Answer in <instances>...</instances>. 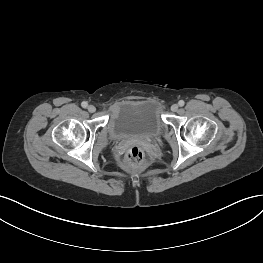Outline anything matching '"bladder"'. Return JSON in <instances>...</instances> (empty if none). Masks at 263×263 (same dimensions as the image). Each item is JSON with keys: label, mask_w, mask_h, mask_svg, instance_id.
Instances as JSON below:
<instances>
[{"label": "bladder", "mask_w": 263, "mask_h": 263, "mask_svg": "<svg viewBox=\"0 0 263 263\" xmlns=\"http://www.w3.org/2000/svg\"><path fill=\"white\" fill-rule=\"evenodd\" d=\"M112 138H157L164 129L160 106L154 100L126 101L119 104L109 119Z\"/></svg>", "instance_id": "obj_1"}]
</instances>
